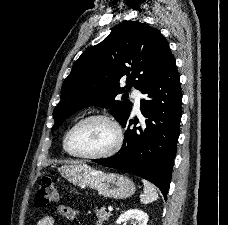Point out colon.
<instances>
[{"mask_svg":"<svg viewBox=\"0 0 228 225\" xmlns=\"http://www.w3.org/2000/svg\"><path fill=\"white\" fill-rule=\"evenodd\" d=\"M57 196V187L55 182L48 176L40 178L39 189L35 195L36 205L43 207L46 206L51 200Z\"/></svg>","mask_w":228,"mask_h":225,"instance_id":"colon-1","label":"colon"}]
</instances>
